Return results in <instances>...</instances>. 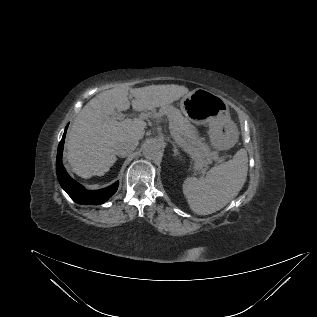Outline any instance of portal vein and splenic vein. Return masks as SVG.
Returning <instances> with one entry per match:
<instances>
[{
    "instance_id": "1",
    "label": "portal vein and splenic vein",
    "mask_w": 317,
    "mask_h": 317,
    "mask_svg": "<svg viewBox=\"0 0 317 317\" xmlns=\"http://www.w3.org/2000/svg\"><path fill=\"white\" fill-rule=\"evenodd\" d=\"M112 118H113L114 120H124L125 115L122 114V113H115V114L112 116ZM173 138L175 139V141H176L180 146L182 145V141H181V139H180L178 136L174 135Z\"/></svg>"
}]
</instances>
